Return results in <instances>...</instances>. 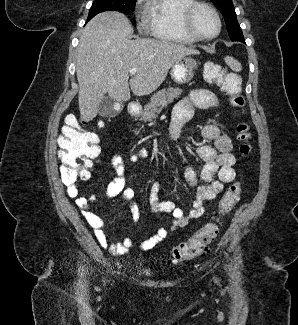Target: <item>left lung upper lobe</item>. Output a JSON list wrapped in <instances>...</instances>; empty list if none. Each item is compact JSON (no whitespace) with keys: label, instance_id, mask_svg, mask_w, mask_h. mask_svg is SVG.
I'll return each instance as SVG.
<instances>
[{"label":"left lung upper lobe","instance_id":"obj_1","mask_svg":"<svg viewBox=\"0 0 298 325\" xmlns=\"http://www.w3.org/2000/svg\"><path fill=\"white\" fill-rule=\"evenodd\" d=\"M224 16L229 37L232 41H243V33L238 24L232 0H211Z\"/></svg>","mask_w":298,"mask_h":325}]
</instances>
